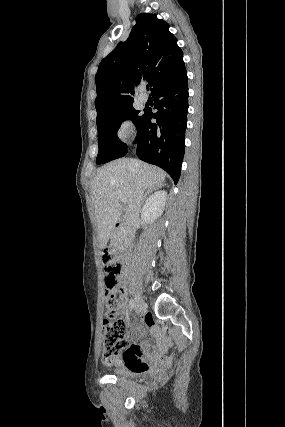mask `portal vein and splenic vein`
<instances>
[{
	"instance_id": "18ae733b",
	"label": "portal vein and splenic vein",
	"mask_w": 285,
	"mask_h": 427,
	"mask_svg": "<svg viewBox=\"0 0 285 427\" xmlns=\"http://www.w3.org/2000/svg\"><path fill=\"white\" fill-rule=\"evenodd\" d=\"M117 194H118V199H119L122 203H125V202H126V199H125L124 195H123L122 193H120V192H118Z\"/></svg>"
}]
</instances>
